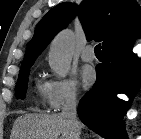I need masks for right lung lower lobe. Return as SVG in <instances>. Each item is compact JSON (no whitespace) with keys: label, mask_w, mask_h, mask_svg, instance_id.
Returning <instances> with one entry per match:
<instances>
[{"label":"right lung lower lobe","mask_w":141,"mask_h":139,"mask_svg":"<svg viewBox=\"0 0 141 139\" xmlns=\"http://www.w3.org/2000/svg\"><path fill=\"white\" fill-rule=\"evenodd\" d=\"M136 35L141 32L102 49L96 83L79 102L80 120L104 138L127 139L123 116L131 103L117 94L131 97L141 83V59L132 52Z\"/></svg>","instance_id":"1"}]
</instances>
